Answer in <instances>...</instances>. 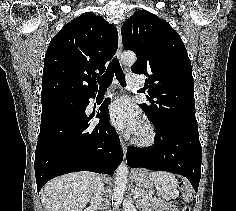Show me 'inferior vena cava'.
I'll use <instances>...</instances> for the list:
<instances>
[{
	"label": "inferior vena cava",
	"mask_w": 236,
	"mask_h": 211,
	"mask_svg": "<svg viewBox=\"0 0 236 211\" xmlns=\"http://www.w3.org/2000/svg\"><path fill=\"white\" fill-rule=\"evenodd\" d=\"M103 185L104 184L102 178L98 176L91 196V206L94 210L97 209L102 204Z\"/></svg>",
	"instance_id": "602c4592"
}]
</instances>
